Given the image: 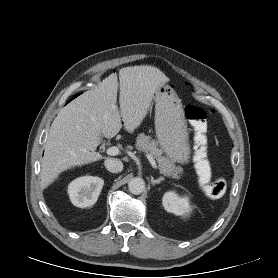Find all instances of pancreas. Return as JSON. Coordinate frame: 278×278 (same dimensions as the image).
<instances>
[{
  "mask_svg": "<svg viewBox=\"0 0 278 278\" xmlns=\"http://www.w3.org/2000/svg\"><path fill=\"white\" fill-rule=\"evenodd\" d=\"M135 147L139 151L150 153L156 159L162 174L173 179L180 178L182 170L176 167L173 160L163 156V151L158 148V142L151 139L150 136L140 133L136 138Z\"/></svg>",
  "mask_w": 278,
  "mask_h": 278,
  "instance_id": "1",
  "label": "pancreas"
}]
</instances>
